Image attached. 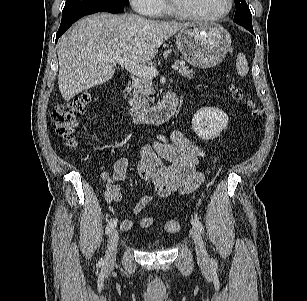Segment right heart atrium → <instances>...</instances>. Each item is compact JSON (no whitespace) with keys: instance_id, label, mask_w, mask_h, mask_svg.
I'll use <instances>...</instances> for the list:
<instances>
[{"instance_id":"d8ad5b80","label":"right heart atrium","mask_w":307,"mask_h":301,"mask_svg":"<svg viewBox=\"0 0 307 301\" xmlns=\"http://www.w3.org/2000/svg\"><path fill=\"white\" fill-rule=\"evenodd\" d=\"M133 9L144 16L156 18L159 17L164 10L161 0H129Z\"/></svg>"}]
</instances>
